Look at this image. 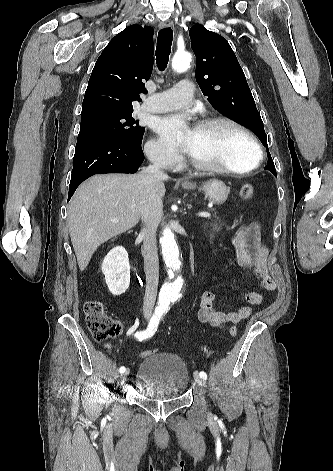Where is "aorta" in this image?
I'll use <instances>...</instances> for the list:
<instances>
[{
  "label": "aorta",
  "instance_id": "obj_1",
  "mask_svg": "<svg viewBox=\"0 0 333 471\" xmlns=\"http://www.w3.org/2000/svg\"><path fill=\"white\" fill-rule=\"evenodd\" d=\"M191 55L188 52L176 53L172 60V68L177 73L184 72L190 65ZM160 243L165 264L168 268L169 280L164 283L159 293V306L168 307L170 301L178 298L183 286V279L179 275L181 260L174 233L169 227L163 229Z\"/></svg>",
  "mask_w": 333,
  "mask_h": 471
}]
</instances>
